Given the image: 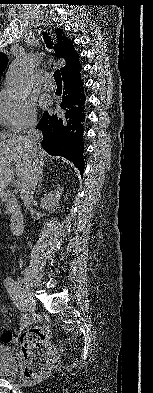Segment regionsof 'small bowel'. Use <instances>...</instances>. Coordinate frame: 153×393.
<instances>
[{
	"mask_svg": "<svg viewBox=\"0 0 153 393\" xmlns=\"http://www.w3.org/2000/svg\"><path fill=\"white\" fill-rule=\"evenodd\" d=\"M27 325V320L23 319L22 320V326ZM13 334L9 331L4 332L2 335H0V341L1 342H7L12 338Z\"/></svg>",
	"mask_w": 153,
	"mask_h": 393,
	"instance_id": "small-bowel-1",
	"label": "small bowel"
}]
</instances>
